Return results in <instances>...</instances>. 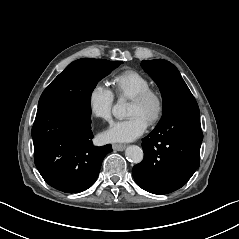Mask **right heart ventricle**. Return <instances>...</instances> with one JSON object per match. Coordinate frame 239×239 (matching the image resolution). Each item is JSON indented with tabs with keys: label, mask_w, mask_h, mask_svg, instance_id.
Wrapping results in <instances>:
<instances>
[{
	"label": "right heart ventricle",
	"mask_w": 239,
	"mask_h": 239,
	"mask_svg": "<svg viewBox=\"0 0 239 239\" xmlns=\"http://www.w3.org/2000/svg\"><path fill=\"white\" fill-rule=\"evenodd\" d=\"M115 91L121 97L130 98L139 91L150 87L151 82L147 76L138 70L129 69L112 76Z\"/></svg>",
	"instance_id": "right-heart-ventricle-1"
}]
</instances>
